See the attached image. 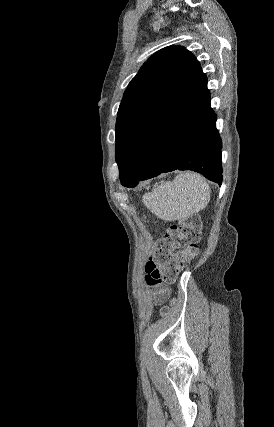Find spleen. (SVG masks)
I'll return each mask as SVG.
<instances>
[{
	"label": "spleen",
	"mask_w": 274,
	"mask_h": 427,
	"mask_svg": "<svg viewBox=\"0 0 274 427\" xmlns=\"http://www.w3.org/2000/svg\"><path fill=\"white\" fill-rule=\"evenodd\" d=\"M210 200V188L205 178L194 172H180L173 182H161L143 202L160 219H187L201 212Z\"/></svg>",
	"instance_id": "3e777b00"
}]
</instances>
